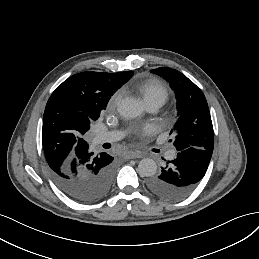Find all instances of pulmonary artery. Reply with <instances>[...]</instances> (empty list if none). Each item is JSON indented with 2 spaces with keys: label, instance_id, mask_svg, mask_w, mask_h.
<instances>
[{
  "label": "pulmonary artery",
  "instance_id": "obj_1",
  "mask_svg": "<svg viewBox=\"0 0 259 259\" xmlns=\"http://www.w3.org/2000/svg\"><path fill=\"white\" fill-rule=\"evenodd\" d=\"M163 103L161 101H151L146 103V107L149 111L154 112L158 110ZM123 134L119 131H103L96 135L95 140L97 143L114 142L121 139ZM176 152L174 150H168L165 153L167 160L171 161L175 158Z\"/></svg>",
  "mask_w": 259,
  "mask_h": 259
}]
</instances>
